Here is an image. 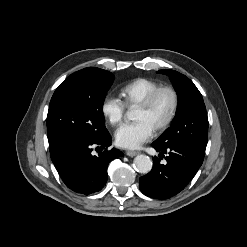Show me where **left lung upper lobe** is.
Returning <instances> with one entry per match:
<instances>
[{
	"instance_id": "left-lung-upper-lobe-1",
	"label": "left lung upper lobe",
	"mask_w": 247,
	"mask_h": 247,
	"mask_svg": "<svg viewBox=\"0 0 247 247\" xmlns=\"http://www.w3.org/2000/svg\"><path fill=\"white\" fill-rule=\"evenodd\" d=\"M158 73L170 76L178 95V106L171 126L156 142L163 145L188 142L205 150L209 123L201 93L188 77L177 71L159 70Z\"/></svg>"
}]
</instances>
